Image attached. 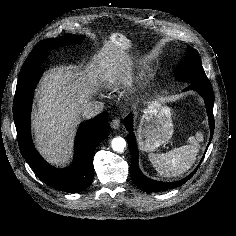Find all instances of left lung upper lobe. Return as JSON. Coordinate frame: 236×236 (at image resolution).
Instances as JSON below:
<instances>
[{
  "instance_id": "1",
  "label": "left lung upper lobe",
  "mask_w": 236,
  "mask_h": 236,
  "mask_svg": "<svg viewBox=\"0 0 236 236\" xmlns=\"http://www.w3.org/2000/svg\"><path fill=\"white\" fill-rule=\"evenodd\" d=\"M177 80L197 83L208 80L197 52L188 46L185 56L178 63L175 70Z\"/></svg>"
}]
</instances>
